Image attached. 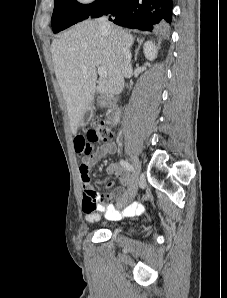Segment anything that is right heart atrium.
Segmentation results:
<instances>
[{"instance_id":"right-heart-atrium-1","label":"right heart atrium","mask_w":227,"mask_h":298,"mask_svg":"<svg viewBox=\"0 0 227 298\" xmlns=\"http://www.w3.org/2000/svg\"><path fill=\"white\" fill-rule=\"evenodd\" d=\"M77 1L81 4H90V3L94 2L95 0H77Z\"/></svg>"}]
</instances>
